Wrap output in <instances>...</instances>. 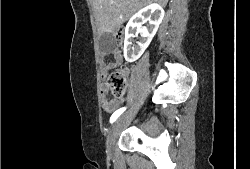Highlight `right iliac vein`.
<instances>
[{"instance_id":"1","label":"right iliac vein","mask_w":250,"mask_h":169,"mask_svg":"<svg viewBox=\"0 0 250 169\" xmlns=\"http://www.w3.org/2000/svg\"><path fill=\"white\" fill-rule=\"evenodd\" d=\"M124 116H121L120 118H118L114 124L112 125L109 134H108V138H107V150L110 153L114 147L115 141L118 137V132L121 126V123L124 121Z\"/></svg>"}]
</instances>
